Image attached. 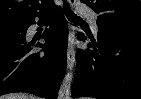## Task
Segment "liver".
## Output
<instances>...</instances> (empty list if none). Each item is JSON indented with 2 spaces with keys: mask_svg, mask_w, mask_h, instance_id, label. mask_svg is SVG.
<instances>
[{
  "mask_svg": "<svg viewBox=\"0 0 141 99\" xmlns=\"http://www.w3.org/2000/svg\"><path fill=\"white\" fill-rule=\"evenodd\" d=\"M0 99H38L36 96L24 94V93H17V94H8L5 96L0 97Z\"/></svg>",
  "mask_w": 141,
  "mask_h": 99,
  "instance_id": "6515ba94",
  "label": "liver"
}]
</instances>
